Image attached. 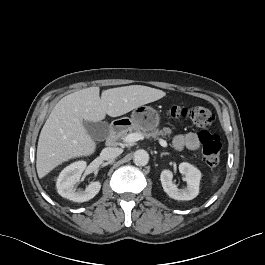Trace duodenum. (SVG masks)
Returning <instances> with one entry per match:
<instances>
[{"label": "duodenum", "mask_w": 265, "mask_h": 265, "mask_svg": "<svg viewBox=\"0 0 265 265\" xmlns=\"http://www.w3.org/2000/svg\"><path fill=\"white\" fill-rule=\"evenodd\" d=\"M128 123L124 121H115L110 127L109 136L107 137L106 144L112 146L114 142L121 135L123 130L127 127Z\"/></svg>", "instance_id": "410a0bca"}]
</instances>
